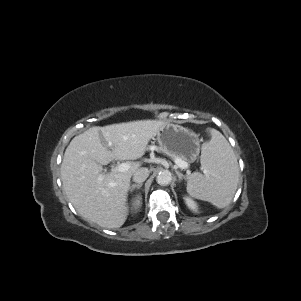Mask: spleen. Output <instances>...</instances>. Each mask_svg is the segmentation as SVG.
<instances>
[{"instance_id":"1","label":"spleen","mask_w":301,"mask_h":301,"mask_svg":"<svg viewBox=\"0 0 301 301\" xmlns=\"http://www.w3.org/2000/svg\"><path fill=\"white\" fill-rule=\"evenodd\" d=\"M211 135V140L202 146L201 166L204 174L191 175L187 192L196 199L224 208L236 192L239 167L226 138L215 129L211 130Z\"/></svg>"}]
</instances>
